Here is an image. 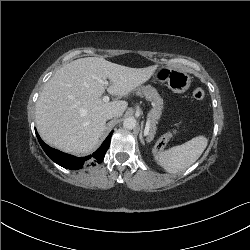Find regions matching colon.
Instances as JSON below:
<instances>
[{
  "mask_svg": "<svg viewBox=\"0 0 250 250\" xmlns=\"http://www.w3.org/2000/svg\"><path fill=\"white\" fill-rule=\"evenodd\" d=\"M205 96V92L202 88H196L193 91V97L195 100H202ZM176 133V130L169 132L165 135H163L159 141L158 144L154 147V149L151 151V156L154 159H158L159 163H164L165 162V157L162 156V154L165 152V146L167 143L170 141V139L173 137V135Z\"/></svg>",
  "mask_w": 250,
  "mask_h": 250,
  "instance_id": "5ec220e1",
  "label": "colon"
}]
</instances>
